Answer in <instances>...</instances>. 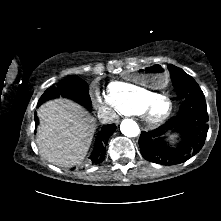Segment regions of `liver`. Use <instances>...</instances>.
<instances>
[{
    "label": "liver",
    "instance_id": "liver-1",
    "mask_svg": "<svg viewBox=\"0 0 221 221\" xmlns=\"http://www.w3.org/2000/svg\"><path fill=\"white\" fill-rule=\"evenodd\" d=\"M37 114L36 143L41 156L59 167L79 165L92 141L94 118L66 98L46 102Z\"/></svg>",
    "mask_w": 221,
    "mask_h": 221
}]
</instances>
